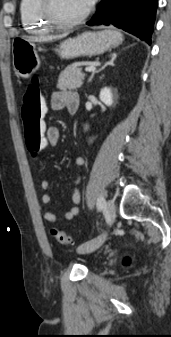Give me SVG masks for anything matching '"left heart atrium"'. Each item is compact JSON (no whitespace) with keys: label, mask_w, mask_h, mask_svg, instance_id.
<instances>
[{"label":"left heart atrium","mask_w":171,"mask_h":337,"mask_svg":"<svg viewBox=\"0 0 171 337\" xmlns=\"http://www.w3.org/2000/svg\"><path fill=\"white\" fill-rule=\"evenodd\" d=\"M95 2V0H84V3L87 7H90L91 5H93Z\"/></svg>","instance_id":"obj_1"}]
</instances>
